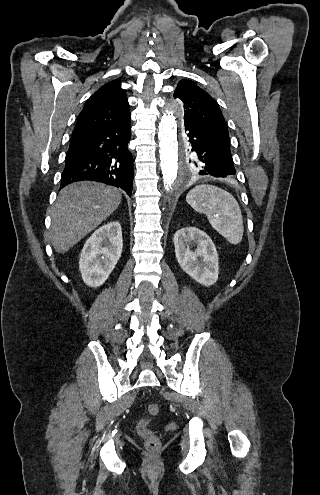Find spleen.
I'll list each match as a JSON object with an SVG mask.
<instances>
[{"label":"spleen","mask_w":320,"mask_h":495,"mask_svg":"<svg viewBox=\"0 0 320 495\" xmlns=\"http://www.w3.org/2000/svg\"><path fill=\"white\" fill-rule=\"evenodd\" d=\"M186 201L195 211L205 213L213 229L229 243L237 245L241 242L243 217L237 200L229 192L202 184L188 192Z\"/></svg>","instance_id":"obj_1"}]
</instances>
